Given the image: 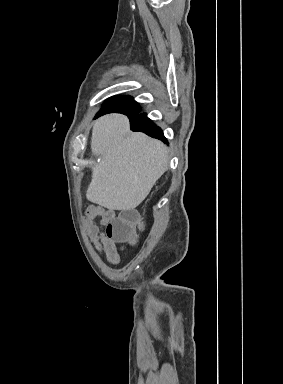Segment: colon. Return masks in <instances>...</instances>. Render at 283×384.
<instances>
[{"label":"colon","instance_id":"colon-1","mask_svg":"<svg viewBox=\"0 0 283 384\" xmlns=\"http://www.w3.org/2000/svg\"><path fill=\"white\" fill-rule=\"evenodd\" d=\"M140 225V216L135 210H127L117 216L107 227V234L115 242H131Z\"/></svg>","mask_w":283,"mask_h":384}]
</instances>
